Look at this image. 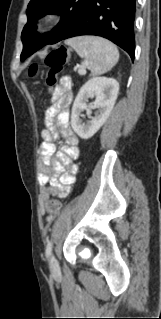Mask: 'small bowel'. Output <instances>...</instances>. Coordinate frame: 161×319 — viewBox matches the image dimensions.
<instances>
[{"label": "small bowel", "instance_id": "c3829d8e", "mask_svg": "<svg viewBox=\"0 0 161 319\" xmlns=\"http://www.w3.org/2000/svg\"><path fill=\"white\" fill-rule=\"evenodd\" d=\"M72 98L70 83L67 78H62L61 85L53 94L52 104L45 112L46 129L41 132L43 142L39 149L42 163L40 203L43 210L47 206L46 199L49 194H54L59 198H64L69 194L78 172L77 165L69 160V158L77 159L79 156L78 138L69 127L68 107ZM60 135L65 139L66 145L61 147L58 157L55 158L54 142ZM52 220L53 215L48 214L46 222Z\"/></svg>", "mask_w": 161, "mask_h": 319}]
</instances>
